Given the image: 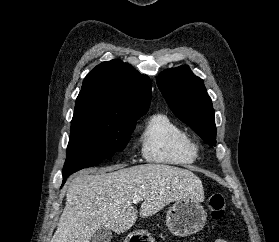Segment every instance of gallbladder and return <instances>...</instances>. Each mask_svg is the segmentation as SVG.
<instances>
[{
    "instance_id": "obj_1",
    "label": "gallbladder",
    "mask_w": 279,
    "mask_h": 242,
    "mask_svg": "<svg viewBox=\"0 0 279 242\" xmlns=\"http://www.w3.org/2000/svg\"><path fill=\"white\" fill-rule=\"evenodd\" d=\"M112 238V233L109 229L101 227L91 237V242H109Z\"/></svg>"
}]
</instances>
